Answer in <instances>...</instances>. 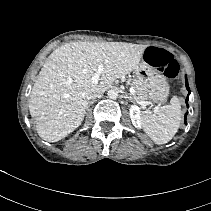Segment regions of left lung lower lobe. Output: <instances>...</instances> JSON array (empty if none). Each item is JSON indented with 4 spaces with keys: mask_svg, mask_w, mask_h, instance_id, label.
Listing matches in <instances>:
<instances>
[{
    "mask_svg": "<svg viewBox=\"0 0 211 211\" xmlns=\"http://www.w3.org/2000/svg\"><path fill=\"white\" fill-rule=\"evenodd\" d=\"M185 79H186V88H187V90H188V92H189V93H188V96H189V94H190V89H189L187 77H185ZM188 96H187V98H186L187 107H188ZM186 118H187V113L185 114V124H186Z\"/></svg>",
    "mask_w": 211,
    "mask_h": 211,
    "instance_id": "0a47b994",
    "label": "left lung lower lobe"
}]
</instances>
